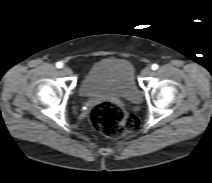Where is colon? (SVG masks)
Returning a JSON list of instances; mask_svg holds the SVG:
<instances>
[{
  "label": "colon",
  "mask_w": 212,
  "mask_h": 183,
  "mask_svg": "<svg viewBox=\"0 0 212 183\" xmlns=\"http://www.w3.org/2000/svg\"><path fill=\"white\" fill-rule=\"evenodd\" d=\"M89 119L97 131L111 138L122 137L139 128V119L112 101H102L94 105Z\"/></svg>",
  "instance_id": "5ec220e1"
}]
</instances>
